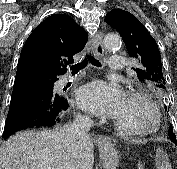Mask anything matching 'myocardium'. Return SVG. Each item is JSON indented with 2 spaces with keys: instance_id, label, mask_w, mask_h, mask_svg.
Segmentation results:
<instances>
[{
  "instance_id": "myocardium-1",
  "label": "myocardium",
  "mask_w": 177,
  "mask_h": 169,
  "mask_svg": "<svg viewBox=\"0 0 177 169\" xmlns=\"http://www.w3.org/2000/svg\"><path fill=\"white\" fill-rule=\"evenodd\" d=\"M126 98L141 100L145 104V106L149 109L152 115V123L149 127H146V128L130 129V128H127L121 125L119 122L113 119L112 122L116 130L123 135L139 136V137L148 136V135L156 133L160 129V126H161V114H160L158 107L151 100L148 94L141 90H130L126 93Z\"/></svg>"
}]
</instances>
